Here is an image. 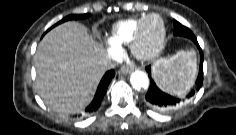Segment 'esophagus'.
<instances>
[{"label":"esophagus","instance_id":"esophagus-1","mask_svg":"<svg viewBox=\"0 0 236 135\" xmlns=\"http://www.w3.org/2000/svg\"><path fill=\"white\" fill-rule=\"evenodd\" d=\"M133 70H134V68H132V67H126V66H124V67L121 68L120 72H121L122 74H129V73H131Z\"/></svg>","mask_w":236,"mask_h":135}]
</instances>
